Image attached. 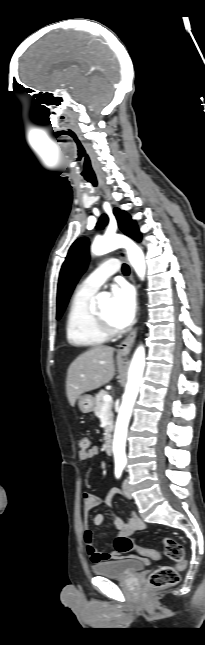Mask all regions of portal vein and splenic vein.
Returning <instances> with one entry per match:
<instances>
[{"instance_id": "1", "label": "portal vein and splenic vein", "mask_w": 205, "mask_h": 645, "mask_svg": "<svg viewBox=\"0 0 205 645\" xmlns=\"http://www.w3.org/2000/svg\"><path fill=\"white\" fill-rule=\"evenodd\" d=\"M103 400H104L105 404H109V403H111V402H112V397H111L110 395H107V394H106V395L103 397Z\"/></svg>"}]
</instances>
